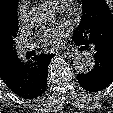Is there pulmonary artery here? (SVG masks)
<instances>
[{"instance_id": "e3ab8cb5", "label": "pulmonary artery", "mask_w": 113, "mask_h": 113, "mask_svg": "<svg viewBox=\"0 0 113 113\" xmlns=\"http://www.w3.org/2000/svg\"><path fill=\"white\" fill-rule=\"evenodd\" d=\"M32 48L31 45H23V46H20L19 47V50L22 52V53H25L26 51L30 50Z\"/></svg>"}]
</instances>
